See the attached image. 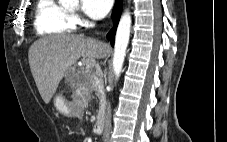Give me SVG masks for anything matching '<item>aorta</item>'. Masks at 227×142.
I'll return each instance as SVG.
<instances>
[{
  "instance_id": "762f6f07",
  "label": "aorta",
  "mask_w": 227,
  "mask_h": 142,
  "mask_svg": "<svg viewBox=\"0 0 227 142\" xmlns=\"http://www.w3.org/2000/svg\"><path fill=\"white\" fill-rule=\"evenodd\" d=\"M59 2L63 5H66V4L72 5V4H77L78 0H59ZM130 28H131V15L129 11H126L121 16V19L118 24L117 32H116V37H115V46H114V55H113L112 64H113V70H114L116 79H118L122 71L126 49H127L129 37H130Z\"/></svg>"
}]
</instances>
